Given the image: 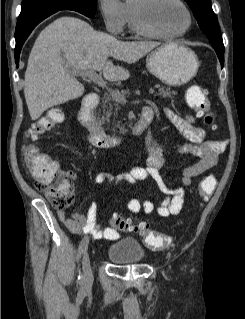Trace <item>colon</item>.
Masks as SVG:
<instances>
[{
	"instance_id": "1",
	"label": "colon",
	"mask_w": 245,
	"mask_h": 319,
	"mask_svg": "<svg viewBox=\"0 0 245 319\" xmlns=\"http://www.w3.org/2000/svg\"><path fill=\"white\" fill-rule=\"evenodd\" d=\"M187 103L199 116H203L205 123L216 128V115L212 112L206 91L198 86H191L186 92ZM64 118L62 111L50 110L44 117L35 122L29 130V136L36 138L52 129ZM25 166L35 187L44 192L51 205L58 209H67L74 202V188L72 175L59 168L58 162L41 152L36 146L28 144L23 148ZM216 186L215 177L209 174L203 178L199 186L202 198H208ZM113 225L122 231L139 234L145 245L151 249H162L171 246V238L150 229L145 221H135L131 218L113 215Z\"/></svg>"
}]
</instances>
